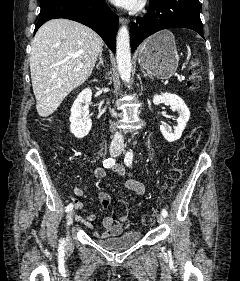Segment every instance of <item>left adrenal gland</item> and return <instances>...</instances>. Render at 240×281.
Masks as SVG:
<instances>
[{"mask_svg":"<svg viewBox=\"0 0 240 281\" xmlns=\"http://www.w3.org/2000/svg\"><path fill=\"white\" fill-rule=\"evenodd\" d=\"M141 71L144 74V77L148 76L151 80H154V78L151 75L147 74L145 71H143V69H141Z\"/></svg>","mask_w":240,"mask_h":281,"instance_id":"1","label":"left adrenal gland"}]
</instances>
